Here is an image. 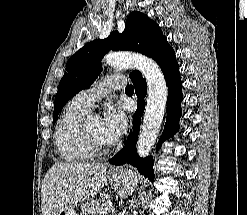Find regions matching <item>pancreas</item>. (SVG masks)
<instances>
[{
    "instance_id": "pancreas-1",
    "label": "pancreas",
    "mask_w": 247,
    "mask_h": 215,
    "mask_svg": "<svg viewBox=\"0 0 247 215\" xmlns=\"http://www.w3.org/2000/svg\"><path fill=\"white\" fill-rule=\"evenodd\" d=\"M106 202L93 200L82 207L83 215H107L112 208L105 205Z\"/></svg>"
}]
</instances>
